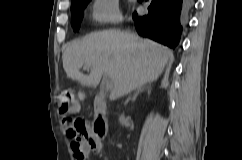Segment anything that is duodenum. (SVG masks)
Here are the masks:
<instances>
[{
  "label": "duodenum",
  "instance_id": "1",
  "mask_svg": "<svg viewBox=\"0 0 242 160\" xmlns=\"http://www.w3.org/2000/svg\"><path fill=\"white\" fill-rule=\"evenodd\" d=\"M107 107L104 99L96 95L94 98V116L90 126L91 133L96 141L105 139L108 134Z\"/></svg>",
  "mask_w": 242,
  "mask_h": 160
}]
</instances>
